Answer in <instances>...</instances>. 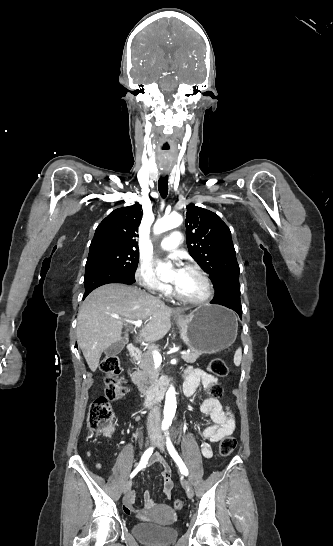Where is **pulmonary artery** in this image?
<instances>
[{
  "label": "pulmonary artery",
  "mask_w": 333,
  "mask_h": 546,
  "mask_svg": "<svg viewBox=\"0 0 333 546\" xmlns=\"http://www.w3.org/2000/svg\"><path fill=\"white\" fill-rule=\"evenodd\" d=\"M182 243V233L180 231H173L169 236L164 237L160 243L159 248L163 251H172L176 249Z\"/></svg>",
  "instance_id": "e3ab8cb5"
}]
</instances>
